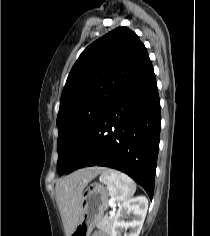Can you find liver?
<instances>
[{
	"label": "liver",
	"instance_id": "obj_1",
	"mask_svg": "<svg viewBox=\"0 0 210 236\" xmlns=\"http://www.w3.org/2000/svg\"><path fill=\"white\" fill-rule=\"evenodd\" d=\"M104 170L103 167L80 169L57 181V202L64 222L66 236H71L78 223L84 188Z\"/></svg>",
	"mask_w": 210,
	"mask_h": 236
}]
</instances>
